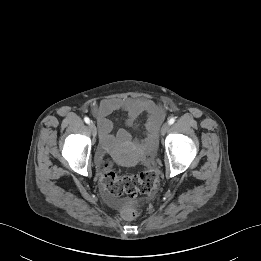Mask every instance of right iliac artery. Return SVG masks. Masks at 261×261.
Instances as JSON below:
<instances>
[{
	"label": "right iliac artery",
	"mask_w": 261,
	"mask_h": 261,
	"mask_svg": "<svg viewBox=\"0 0 261 261\" xmlns=\"http://www.w3.org/2000/svg\"><path fill=\"white\" fill-rule=\"evenodd\" d=\"M84 121L87 123V124H90V119L88 117H85L84 118Z\"/></svg>",
	"instance_id": "right-iliac-artery-1"
}]
</instances>
